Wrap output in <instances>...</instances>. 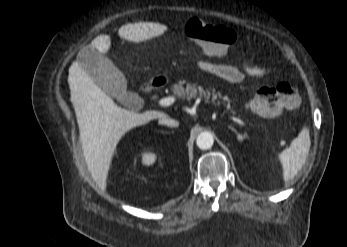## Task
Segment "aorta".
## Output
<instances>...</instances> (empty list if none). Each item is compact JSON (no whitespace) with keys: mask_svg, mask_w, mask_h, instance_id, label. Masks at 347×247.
Instances as JSON below:
<instances>
[{"mask_svg":"<svg viewBox=\"0 0 347 247\" xmlns=\"http://www.w3.org/2000/svg\"><path fill=\"white\" fill-rule=\"evenodd\" d=\"M214 138L210 132H202L197 136L196 144L202 150H208L213 146Z\"/></svg>","mask_w":347,"mask_h":247,"instance_id":"762f6f07","label":"aorta"}]
</instances>
